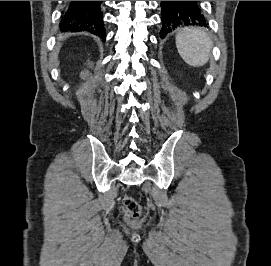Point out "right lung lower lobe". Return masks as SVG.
<instances>
[{"mask_svg": "<svg viewBox=\"0 0 271 266\" xmlns=\"http://www.w3.org/2000/svg\"><path fill=\"white\" fill-rule=\"evenodd\" d=\"M103 1H70L61 19L60 28L71 32L88 31L106 38L103 15L100 9Z\"/></svg>", "mask_w": 271, "mask_h": 266, "instance_id": "98d812e1", "label": "right lung lower lobe"}]
</instances>
